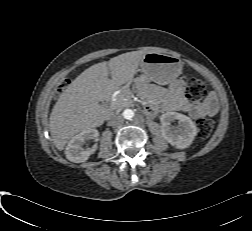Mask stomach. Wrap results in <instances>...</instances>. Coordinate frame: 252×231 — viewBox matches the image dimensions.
Returning a JSON list of instances; mask_svg holds the SVG:
<instances>
[{
    "label": "stomach",
    "instance_id": "0dacf381",
    "mask_svg": "<svg viewBox=\"0 0 252 231\" xmlns=\"http://www.w3.org/2000/svg\"><path fill=\"white\" fill-rule=\"evenodd\" d=\"M140 68L142 76L136 83L138 87L147 81L172 84L177 75V63L172 60V57L160 53L146 54L142 58Z\"/></svg>",
    "mask_w": 252,
    "mask_h": 231
}]
</instances>
